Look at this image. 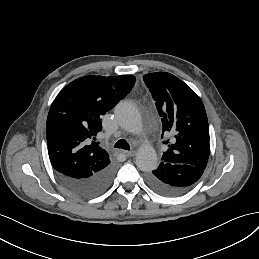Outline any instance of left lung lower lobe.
<instances>
[{"label": "left lung lower lobe", "instance_id": "obj_1", "mask_svg": "<svg viewBox=\"0 0 259 259\" xmlns=\"http://www.w3.org/2000/svg\"><path fill=\"white\" fill-rule=\"evenodd\" d=\"M202 169L188 164L161 162L147 175L148 186L164 196H180L188 192L203 174Z\"/></svg>", "mask_w": 259, "mask_h": 259}]
</instances>
